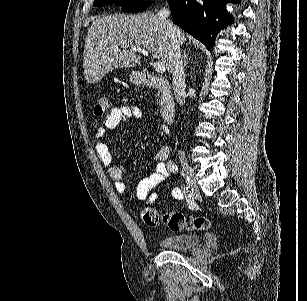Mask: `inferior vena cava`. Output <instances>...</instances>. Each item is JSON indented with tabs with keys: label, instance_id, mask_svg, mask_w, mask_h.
I'll use <instances>...</instances> for the list:
<instances>
[{
	"label": "inferior vena cava",
	"instance_id": "602c4592",
	"mask_svg": "<svg viewBox=\"0 0 307 301\" xmlns=\"http://www.w3.org/2000/svg\"><path fill=\"white\" fill-rule=\"evenodd\" d=\"M158 16L164 20L168 30L169 34L172 36L173 40V50L172 54L170 56L171 60V66H172V80H173V90L175 94V98L177 102H179L180 106L184 104L185 102V74H184V66L182 62V56H181V50H180V44H178V28L174 26V24H171L169 22L167 16H170V10L169 8H166V6H163V8H160L157 12ZM179 155H184V151H178Z\"/></svg>",
	"mask_w": 307,
	"mask_h": 301
}]
</instances>
